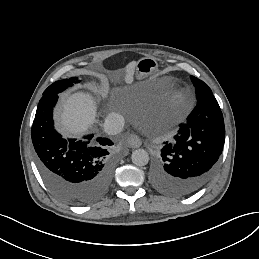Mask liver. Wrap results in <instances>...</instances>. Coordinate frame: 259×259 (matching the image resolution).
<instances>
[{"label": "liver", "instance_id": "liver-1", "mask_svg": "<svg viewBox=\"0 0 259 259\" xmlns=\"http://www.w3.org/2000/svg\"><path fill=\"white\" fill-rule=\"evenodd\" d=\"M128 83L133 81L134 66L129 65ZM97 98V97H96ZM95 106L86 96L74 95L62 100L57 109L58 128L67 135L79 136L88 131L89 126L96 121Z\"/></svg>", "mask_w": 259, "mask_h": 259}]
</instances>
